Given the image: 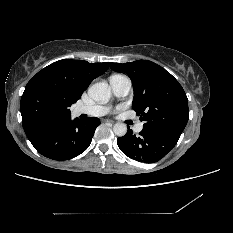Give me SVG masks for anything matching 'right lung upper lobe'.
Segmentation results:
<instances>
[{
    "label": "right lung upper lobe",
    "instance_id": "obj_1",
    "mask_svg": "<svg viewBox=\"0 0 233 233\" xmlns=\"http://www.w3.org/2000/svg\"><path fill=\"white\" fill-rule=\"evenodd\" d=\"M108 67L107 62L63 59L33 76L25 87L20 103L22 125L30 142L70 121L69 107Z\"/></svg>",
    "mask_w": 233,
    "mask_h": 233
}]
</instances>
